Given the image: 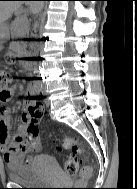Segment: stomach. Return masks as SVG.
<instances>
[{
	"mask_svg": "<svg viewBox=\"0 0 137 189\" xmlns=\"http://www.w3.org/2000/svg\"><path fill=\"white\" fill-rule=\"evenodd\" d=\"M9 35L10 33L8 27L5 25L0 26V40L8 39Z\"/></svg>",
	"mask_w": 137,
	"mask_h": 189,
	"instance_id": "obj_1",
	"label": "stomach"
}]
</instances>
